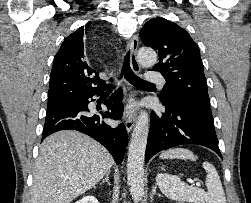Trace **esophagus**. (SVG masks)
Instances as JSON below:
<instances>
[{"label":"esophagus","instance_id":"1","mask_svg":"<svg viewBox=\"0 0 251 203\" xmlns=\"http://www.w3.org/2000/svg\"><path fill=\"white\" fill-rule=\"evenodd\" d=\"M139 45V38L137 35H134L129 43L130 49V65L134 72L140 73L141 66L137 60V50ZM127 89L129 92V99L126 105L125 111V126L128 132H131L134 127L135 115L131 113V108L137 102L138 97L135 91L132 89L130 84H127Z\"/></svg>","mask_w":251,"mask_h":203}]
</instances>
